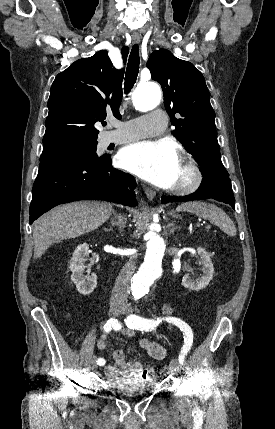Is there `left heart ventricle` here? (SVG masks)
I'll use <instances>...</instances> for the list:
<instances>
[{"label": "left heart ventricle", "mask_w": 275, "mask_h": 429, "mask_svg": "<svg viewBox=\"0 0 275 429\" xmlns=\"http://www.w3.org/2000/svg\"><path fill=\"white\" fill-rule=\"evenodd\" d=\"M185 171L182 167V165L179 163L178 172H177V178L175 184L181 182L185 178Z\"/></svg>", "instance_id": "b2bd125f"}]
</instances>
